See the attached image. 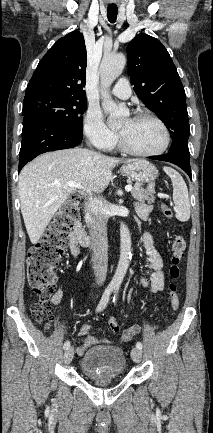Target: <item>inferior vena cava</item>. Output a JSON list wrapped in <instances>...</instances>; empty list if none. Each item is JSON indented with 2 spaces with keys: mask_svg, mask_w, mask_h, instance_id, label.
I'll list each match as a JSON object with an SVG mask.
<instances>
[{
  "mask_svg": "<svg viewBox=\"0 0 213 433\" xmlns=\"http://www.w3.org/2000/svg\"><path fill=\"white\" fill-rule=\"evenodd\" d=\"M85 219L91 228V249L93 251L91 262L96 276V283L102 285L106 279L108 266L105 202L101 199L89 197L85 204Z\"/></svg>",
  "mask_w": 213,
  "mask_h": 433,
  "instance_id": "obj_1",
  "label": "inferior vena cava"
}]
</instances>
